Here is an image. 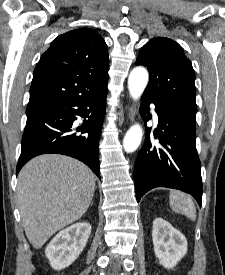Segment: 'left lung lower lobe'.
I'll list each match as a JSON object with an SVG mask.
<instances>
[{
    "label": "left lung lower lobe",
    "instance_id": "0a47b994",
    "mask_svg": "<svg viewBox=\"0 0 225 275\" xmlns=\"http://www.w3.org/2000/svg\"><path fill=\"white\" fill-rule=\"evenodd\" d=\"M150 103L155 104L159 117L154 132L158 142L151 141V128H146L145 142L134 167L137 202L152 188L168 187L190 193L201 206L203 185L195 144L196 116L143 93L140 110L145 121Z\"/></svg>",
    "mask_w": 225,
    "mask_h": 275
}]
</instances>
